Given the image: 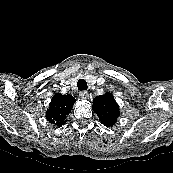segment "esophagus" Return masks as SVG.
I'll list each match as a JSON object with an SVG mask.
<instances>
[{
  "mask_svg": "<svg viewBox=\"0 0 173 173\" xmlns=\"http://www.w3.org/2000/svg\"><path fill=\"white\" fill-rule=\"evenodd\" d=\"M79 96L82 100H87L89 98V94L86 91L80 92Z\"/></svg>",
  "mask_w": 173,
  "mask_h": 173,
  "instance_id": "obj_1",
  "label": "esophagus"
}]
</instances>
